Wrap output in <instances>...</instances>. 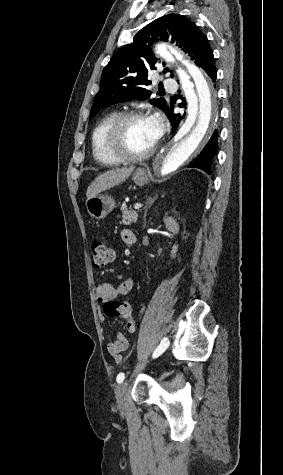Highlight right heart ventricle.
I'll return each mask as SVG.
<instances>
[{
	"label": "right heart ventricle",
	"mask_w": 283,
	"mask_h": 475,
	"mask_svg": "<svg viewBox=\"0 0 283 475\" xmlns=\"http://www.w3.org/2000/svg\"><path fill=\"white\" fill-rule=\"evenodd\" d=\"M121 115L119 111L113 110L104 115L95 125L91 134V148L95 159L98 162H103L101 152L108 156L106 150H102L105 137L113 122ZM109 157V156H108Z\"/></svg>",
	"instance_id": "1"
}]
</instances>
